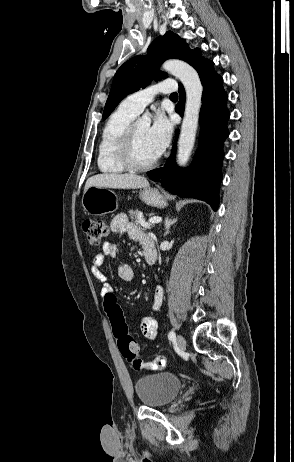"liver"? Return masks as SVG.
Returning <instances> with one entry per match:
<instances>
[{
	"instance_id": "liver-1",
	"label": "liver",
	"mask_w": 294,
	"mask_h": 462,
	"mask_svg": "<svg viewBox=\"0 0 294 462\" xmlns=\"http://www.w3.org/2000/svg\"><path fill=\"white\" fill-rule=\"evenodd\" d=\"M91 186L118 188V189H135L148 187V180L135 174H116L104 173L90 177L85 184L84 192Z\"/></svg>"
}]
</instances>
